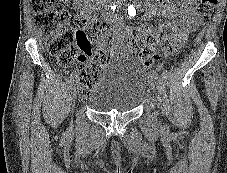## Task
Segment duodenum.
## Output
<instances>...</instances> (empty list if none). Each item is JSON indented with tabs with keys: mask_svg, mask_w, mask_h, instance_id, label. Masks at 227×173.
Listing matches in <instances>:
<instances>
[{
	"mask_svg": "<svg viewBox=\"0 0 227 173\" xmlns=\"http://www.w3.org/2000/svg\"><path fill=\"white\" fill-rule=\"evenodd\" d=\"M123 0H102L103 4L111 9L113 6H120Z\"/></svg>",
	"mask_w": 227,
	"mask_h": 173,
	"instance_id": "1",
	"label": "duodenum"
}]
</instances>
